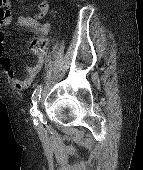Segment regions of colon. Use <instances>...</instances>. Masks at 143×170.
Instances as JSON below:
<instances>
[{
  "label": "colon",
  "mask_w": 143,
  "mask_h": 170,
  "mask_svg": "<svg viewBox=\"0 0 143 170\" xmlns=\"http://www.w3.org/2000/svg\"><path fill=\"white\" fill-rule=\"evenodd\" d=\"M9 15L8 0H0V20ZM46 42L43 38H35L30 42V48L34 53H41L45 48Z\"/></svg>",
  "instance_id": "colon-1"
}]
</instances>
